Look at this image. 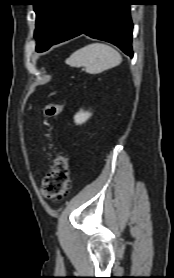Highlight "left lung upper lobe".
<instances>
[{
    "mask_svg": "<svg viewBox=\"0 0 174 278\" xmlns=\"http://www.w3.org/2000/svg\"><path fill=\"white\" fill-rule=\"evenodd\" d=\"M77 0H35L36 51L44 52L56 43L67 24Z\"/></svg>",
    "mask_w": 174,
    "mask_h": 278,
    "instance_id": "obj_1",
    "label": "left lung upper lobe"
}]
</instances>
